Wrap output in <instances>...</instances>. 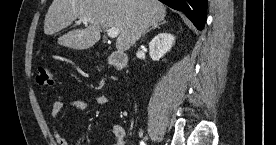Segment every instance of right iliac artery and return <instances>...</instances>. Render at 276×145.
I'll return each mask as SVG.
<instances>
[{
	"mask_svg": "<svg viewBox=\"0 0 276 145\" xmlns=\"http://www.w3.org/2000/svg\"><path fill=\"white\" fill-rule=\"evenodd\" d=\"M140 145H145V143L143 141H140Z\"/></svg>",
	"mask_w": 276,
	"mask_h": 145,
	"instance_id": "82829eb1",
	"label": "right iliac artery"
}]
</instances>
